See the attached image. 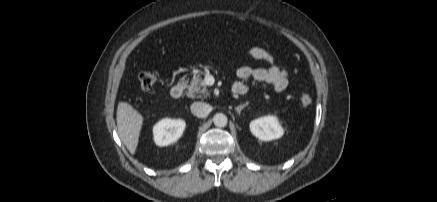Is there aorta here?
I'll return each instance as SVG.
<instances>
[{
  "mask_svg": "<svg viewBox=\"0 0 437 202\" xmlns=\"http://www.w3.org/2000/svg\"><path fill=\"white\" fill-rule=\"evenodd\" d=\"M227 116L223 113H217L213 117L214 125L217 127H225L227 125Z\"/></svg>",
  "mask_w": 437,
  "mask_h": 202,
  "instance_id": "762f6f07",
  "label": "aorta"
}]
</instances>
